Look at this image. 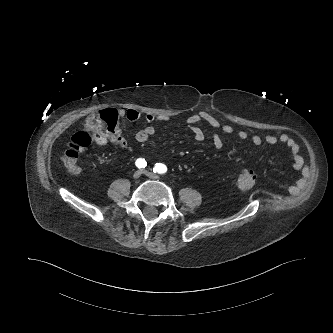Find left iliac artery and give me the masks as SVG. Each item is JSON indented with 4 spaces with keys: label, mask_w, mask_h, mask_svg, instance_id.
I'll use <instances>...</instances> for the list:
<instances>
[{
    "label": "left iliac artery",
    "mask_w": 333,
    "mask_h": 333,
    "mask_svg": "<svg viewBox=\"0 0 333 333\" xmlns=\"http://www.w3.org/2000/svg\"><path fill=\"white\" fill-rule=\"evenodd\" d=\"M154 173H159V174H164L167 172V167L166 165L162 163H156L154 168H153Z\"/></svg>",
    "instance_id": "left-iliac-artery-1"
}]
</instances>
